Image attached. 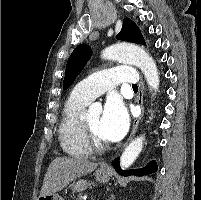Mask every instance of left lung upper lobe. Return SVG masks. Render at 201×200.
I'll return each mask as SVG.
<instances>
[{
	"instance_id": "left-lung-upper-lobe-1",
	"label": "left lung upper lobe",
	"mask_w": 201,
	"mask_h": 200,
	"mask_svg": "<svg viewBox=\"0 0 201 200\" xmlns=\"http://www.w3.org/2000/svg\"><path fill=\"white\" fill-rule=\"evenodd\" d=\"M116 38L138 44H145L140 29L129 18L124 19L122 29ZM91 55V47L86 44H81L73 50L67 61L63 89H67L74 82L76 76L82 71Z\"/></svg>"
}]
</instances>
